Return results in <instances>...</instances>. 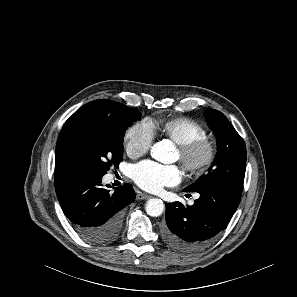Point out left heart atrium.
Segmentation results:
<instances>
[{"label":"left heart atrium","mask_w":297,"mask_h":297,"mask_svg":"<svg viewBox=\"0 0 297 297\" xmlns=\"http://www.w3.org/2000/svg\"><path fill=\"white\" fill-rule=\"evenodd\" d=\"M132 178L142 189L157 192L165 186H174L182 179V172L175 165H161L144 161L132 169Z\"/></svg>","instance_id":"obj_1"}]
</instances>
